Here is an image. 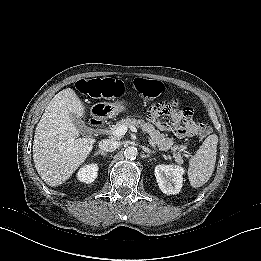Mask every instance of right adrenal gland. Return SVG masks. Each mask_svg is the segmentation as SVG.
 Masks as SVG:
<instances>
[{"mask_svg": "<svg viewBox=\"0 0 261 261\" xmlns=\"http://www.w3.org/2000/svg\"><path fill=\"white\" fill-rule=\"evenodd\" d=\"M98 154H101V155H103V156H105V155H106V153H105V152H103V151H98V152H96V153H95V155H98Z\"/></svg>", "mask_w": 261, "mask_h": 261, "instance_id": "obj_1", "label": "right adrenal gland"}]
</instances>
